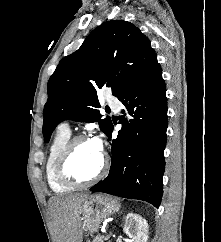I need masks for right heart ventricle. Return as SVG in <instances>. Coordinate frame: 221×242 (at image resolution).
<instances>
[{
	"mask_svg": "<svg viewBox=\"0 0 221 242\" xmlns=\"http://www.w3.org/2000/svg\"><path fill=\"white\" fill-rule=\"evenodd\" d=\"M69 139L70 132L59 129L48 147L45 161V176L49 188L55 193H66L74 188L62 183L56 175L57 160Z\"/></svg>",
	"mask_w": 221,
	"mask_h": 242,
	"instance_id": "obj_1",
	"label": "right heart ventricle"
}]
</instances>
